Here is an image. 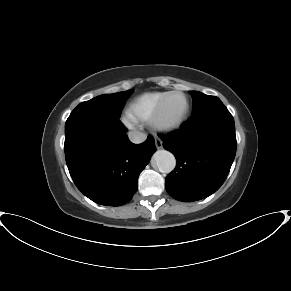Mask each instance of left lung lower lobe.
Wrapping results in <instances>:
<instances>
[{
	"instance_id": "1",
	"label": "left lung lower lobe",
	"mask_w": 291,
	"mask_h": 291,
	"mask_svg": "<svg viewBox=\"0 0 291 291\" xmlns=\"http://www.w3.org/2000/svg\"><path fill=\"white\" fill-rule=\"evenodd\" d=\"M177 165L165 180L176 200L191 202L208 197L225 181L236 153L235 123L222 104L191 117L179 130L161 137Z\"/></svg>"
}]
</instances>
